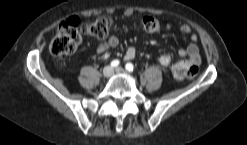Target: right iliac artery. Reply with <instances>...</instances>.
<instances>
[{
    "mask_svg": "<svg viewBox=\"0 0 247 145\" xmlns=\"http://www.w3.org/2000/svg\"><path fill=\"white\" fill-rule=\"evenodd\" d=\"M119 64H120L119 60H113V61L111 62V66H112V67H117Z\"/></svg>",
    "mask_w": 247,
    "mask_h": 145,
    "instance_id": "obj_1",
    "label": "right iliac artery"
}]
</instances>
